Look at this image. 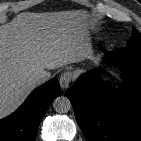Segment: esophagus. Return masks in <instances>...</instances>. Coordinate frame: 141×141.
Listing matches in <instances>:
<instances>
[{
    "mask_svg": "<svg viewBox=\"0 0 141 141\" xmlns=\"http://www.w3.org/2000/svg\"><path fill=\"white\" fill-rule=\"evenodd\" d=\"M72 73L70 71L64 72L60 79H59V83L60 86L63 90L67 89L72 81Z\"/></svg>",
    "mask_w": 141,
    "mask_h": 141,
    "instance_id": "1",
    "label": "esophagus"
}]
</instances>
